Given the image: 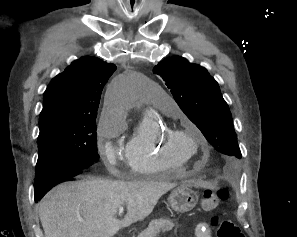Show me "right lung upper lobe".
<instances>
[{"label": "right lung upper lobe", "instance_id": "right-lung-upper-lobe-1", "mask_svg": "<svg viewBox=\"0 0 297 237\" xmlns=\"http://www.w3.org/2000/svg\"><path fill=\"white\" fill-rule=\"evenodd\" d=\"M116 70L98 58L85 56L58 74L43 95L39 124L56 118H96L101 91Z\"/></svg>", "mask_w": 297, "mask_h": 237}]
</instances>
